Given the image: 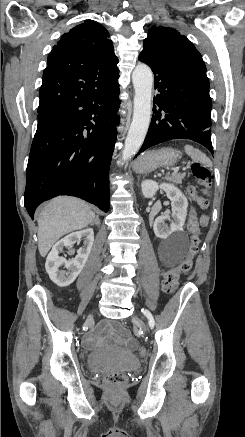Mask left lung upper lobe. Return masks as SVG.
<instances>
[{"label": "left lung upper lobe", "instance_id": "5c2ea615", "mask_svg": "<svg viewBox=\"0 0 245 437\" xmlns=\"http://www.w3.org/2000/svg\"><path fill=\"white\" fill-rule=\"evenodd\" d=\"M141 53L209 86L201 54L187 37L173 28L154 26L149 29Z\"/></svg>", "mask_w": 245, "mask_h": 437}]
</instances>
